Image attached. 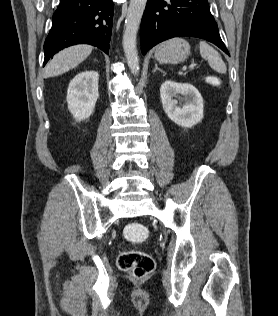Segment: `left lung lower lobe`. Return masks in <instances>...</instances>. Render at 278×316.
<instances>
[{
  "label": "left lung lower lobe",
  "mask_w": 278,
  "mask_h": 316,
  "mask_svg": "<svg viewBox=\"0 0 278 316\" xmlns=\"http://www.w3.org/2000/svg\"><path fill=\"white\" fill-rule=\"evenodd\" d=\"M182 36L208 40L230 56L208 0H148L140 28L142 54L164 40Z\"/></svg>",
  "instance_id": "0a47b994"
}]
</instances>
